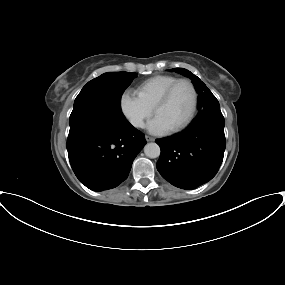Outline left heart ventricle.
<instances>
[{"label":"left heart ventricle","instance_id":"1","mask_svg":"<svg viewBox=\"0 0 285 285\" xmlns=\"http://www.w3.org/2000/svg\"><path fill=\"white\" fill-rule=\"evenodd\" d=\"M193 105V93L187 84L179 85L167 104L156 111L170 129L178 126L189 115Z\"/></svg>","mask_w":285,"mask_h":285}]
</instances>
